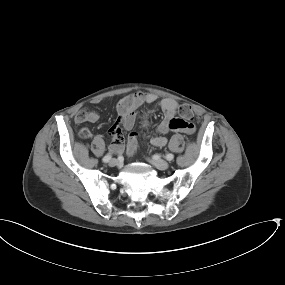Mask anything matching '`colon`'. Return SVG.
I'll return each instance as SVG.
<instances>
[{
	"label": "colon",
	"mask_w": 285,
	"mask_h": 285,
	"mask_svg": "<svg viewBox=\"0 0 285 285\" xmlns=\"http://www.w3.org/2000/svg\"><path fill=\"white\" fill-rule=\"evenodd\" d=\"M179 113L182 116V118L186 121L192 119L194 111L191 105L183 104L179 108ZM186 131L187 132L193 131V125L191 123H188Z\"/></svg>",
	"instance_id": "1"
}]
</instances>
